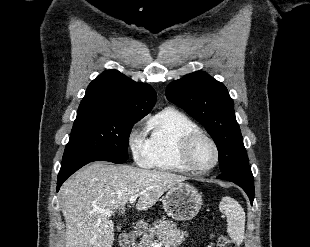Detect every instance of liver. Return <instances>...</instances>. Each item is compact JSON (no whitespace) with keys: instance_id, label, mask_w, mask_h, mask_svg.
Here are the masks:
<instances>
[{"instance_id":"1","label":"liver","mask_w":310,"mask_h":247,"mask_svg":"<svg viewBox=\"0 0 310 247\" xmlns=\"http://www.w3.org/2000/svg\"><path fill=\"white\" fill-rule=\"evenodd\" d=\"M185 176L103 162L82 168L59 191L66 221L65 247H112L114 223L99 210L116 211L138 194L137 210H147Z\"/></svg>"}]
</instances>
